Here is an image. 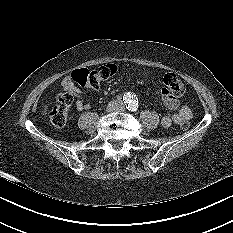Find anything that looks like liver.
I'll list each match as a JSON object with an SVG mask.
<instances>
[{
  "label": "liver",
  "mask_w": 233,
  "mask_h": 233,
  "mask_svg": "<svg viewBox=\"0 0 233 233\" xmlns=\"http://www.w3.org/2000/svg\"><path fill=\"white\" fill-rule=\"evenodd\" d=\"M45 111H47V106H45Z\"/></svg>",
  "instance_id": "6515ba94"
}]
</instances>
